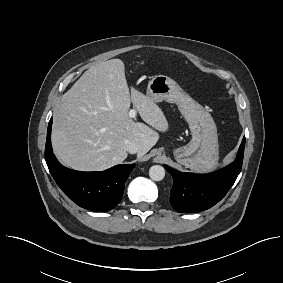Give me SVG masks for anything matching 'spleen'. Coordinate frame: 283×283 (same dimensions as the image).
I'll return each mask as SVG.
<instances>
[{
	"instance_id": "spleen-1",
	"label": "spleen",
	"mask_w": 283,
	"mask_h": 283,
	"mask_svg": "<svg viewBox=\"0 0 283 283\" xmlns=\"http://www.w3.org/2000/svg\"><path fill=\"white\" fill-rule=\"evenodd\" d=\"M216 165V164H215ZM215 165H212V166H210L207 170H205V171H209V170H211V169H213L214 167H215Z\"/></svg>"
}]
</instances>
